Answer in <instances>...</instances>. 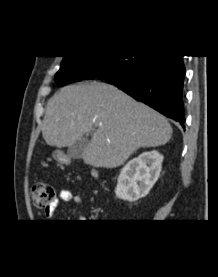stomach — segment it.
Here are the masks:
<instances>
[{"label":"stomach","mask_w":218,"mask_h":277,"mask_svg":"<svg viewBox=\"0 0 218 277\" xmlns=\"http://www.w3.org/2000/svg\"><path fill=\"white\" fill-rule=\"evenodd\" d=\"M53 156L59 162L65 163L67 161L65 155L60 150L54 151Z\"/></svg>","instance_id":"stomach-1"}]
</instances>
